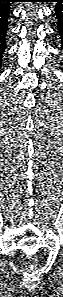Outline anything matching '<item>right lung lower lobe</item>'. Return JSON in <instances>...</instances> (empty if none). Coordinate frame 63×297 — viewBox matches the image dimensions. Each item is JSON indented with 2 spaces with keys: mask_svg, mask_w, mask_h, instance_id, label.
I'll list each match as a JSON object with an SVG mask.
<instances>
[{
  "mask_svg": "<svg viewBox=\"0 0 63 297\" xmlns=\"http://www.w3.org/2000/svg\"><path fill=\"white\" fill-rule=\"evenodd\" d=\"M11 1L12 0H0V64L2 61V54L6 47L5 36L7 33V20L9 17Z\"/></svg>",
  "mask_w": 63,
  "mask_h": 297,
  "instance_id": "98d812e1",
  "label": "right lung lower lobe"
}]
</instances>
